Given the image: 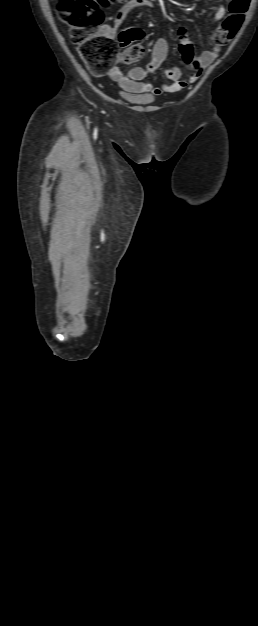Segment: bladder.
<instances>
[{"label": "bladder", "mask_w": 258, "mask_h": 626, "mask_svg": "<svg viewBox=\"0 0 258 626\" xmlns=\"http://www.w3.org/2000/svg\"><path fill=\"white\" fill-rule=\"evenodd\" d=\"M121 96L123 99L134 104L147 105L154 102V97L148 94H130L121 92Z\"/></svg>", "instance_id": "bladder-1"}]
</instances>
